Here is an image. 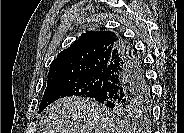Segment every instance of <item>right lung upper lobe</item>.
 Listing matches in <instances>:
<instances>
[{
  "instance_id": "cb5924a9",
  "label": "right lung upper lobe",
  "mask_w": 184,
  "mask_h": 133,
  "mask_svg": "<svg viewBox=\"0 0 184 133\" xmlns=\"http://www.w3.org/2000/svg\"><path fill=\"white\" fill-rule=\"evenodd\" d=\"M120 37L112 31H86L52 61L47 83L60 78L103 73Z\"/></svg>"
}]
</instances>
